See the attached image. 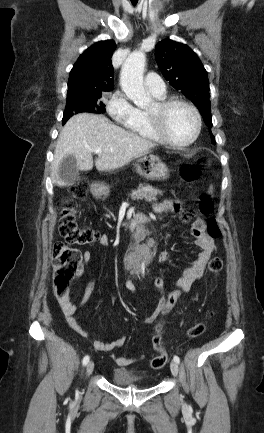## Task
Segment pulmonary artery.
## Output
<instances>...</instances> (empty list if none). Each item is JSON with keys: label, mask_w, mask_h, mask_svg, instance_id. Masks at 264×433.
Instances as JSON below:
<instances>
[{"label": "pulmonary artery", "mask_w": 264, "mask_h": 433, "mask_svg": "<svg viewBox=\"0 0 264 433\" xmlns=\"http://www.w3.org/2000/svg\"><path fill=\"white\" fill-rule=\"evenodd\" d=\"M145 85L152 94L164 95L166 93L165 83L156 73H149L145 77Z\"/></svg>", "instance_id": "e3ab8cb5"}]
</instances>
